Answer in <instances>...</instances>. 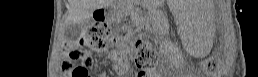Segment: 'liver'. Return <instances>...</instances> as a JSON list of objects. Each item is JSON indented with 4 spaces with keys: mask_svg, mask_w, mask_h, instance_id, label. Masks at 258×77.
<instances>
[{
    "mask_svg": "<svg viewBox=\"0 0 258 77\" xmlns=\"http://www.w3.org/2000/svg\"><path fill=\"white\" fill-rule=\"evenodd\" d=\"M109 0H68V24H81L95 9L106 6Z\"/></svg>",
    "mask_w": 258,
    "mask_h": 77,
    "instance_id": "6515ba94",
    "label": "liver"
}]
</instances>
